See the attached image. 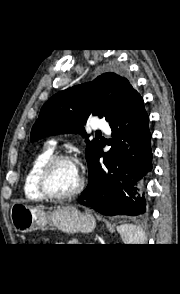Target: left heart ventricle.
I'll return each mask as SVG.
<instances>
[{
	"label": "left heart ventricle",
	"instance_id": "1",
	"mask_svg": "<svg viewBox=\"0 0 180 294\" xmlns=\"http://www.w3.org/2000/svg\"><path fill=\"white\" fill-rule=\"evenodd\" d=\"M79 184V171L70 162L57 164L47 178L48 189L56 194H66L73 191Z\"/></svg>",
	"mask_w": 180,
	"mask_h": 294
}]
</instances>
